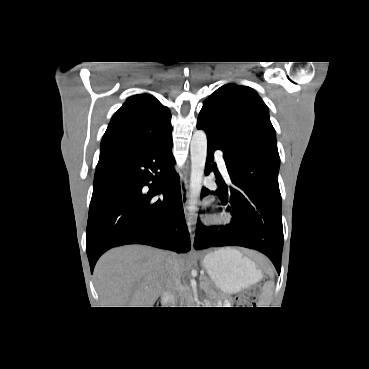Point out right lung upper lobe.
I'll return each instance as SVG.
<instances>
[{
	"label": "right lung upper lobe",
	"mask_w": 369,
	"mask_h": 369,
	"mask_svg": "<svg viewBox=\"0 0 369 369\" xmlns=\"http://www.w3.org/2000/svg\"><path fill=\"white\" fill-rule=\"evenodd\" d=\"M171 113L154 96L130 97L114 114L102 138L98 165L171 135Z\"/></svg>",
	"instance_id": "right-lung-upper-lobe-1"
}]
</instances>
